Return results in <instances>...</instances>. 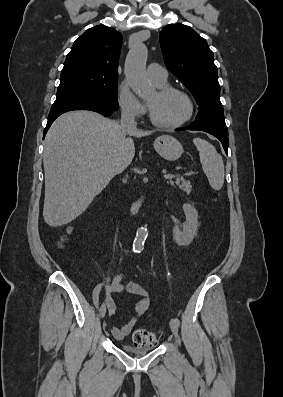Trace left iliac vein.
I'll return each mask as SVG.
<instances>
[{
  "label": "left iliac vein",
  "mask_w": 283,
  "mask_h": 397,
  "mask_svg": "<svg viewBox=\"0 0 283 397\" xmlns=\"http://www.w3.org/2000/svg\"><path fill=\"white\" fill-rule=\"evenodd\" d=\"M170 328H171V331L173 332V334L175 336H177V334H178V326H177V324L175 322V319H171L170 320Z\"/></svg>",
  "instance_id": "left-iliac-vein-1"
}]
</instances>
